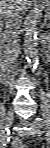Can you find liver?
Returning a JSON list of instances; mask_svg holds the SVG:
<instances>
[{"label":"liver","instance_id":"obj_1","mask_svg":"<svg viewBox=\"0 0 50 148\" xmlns=\"http://www.w3.org/2000/svg\"><path fill=\"white\" fill-rule=\"evenodd\" d=\"M29 3L30 0H1L0 13L2 14V11L7 7H17L20 9V11L26 10L28 8Z\"/></svg>","mask_w":50,"mask_h":148}]
</instances>
